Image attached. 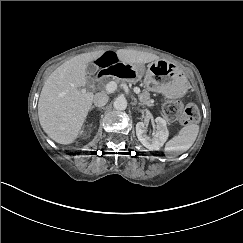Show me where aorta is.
I'll list each match as a JSON object with an SVG mask.
<instances>
[{
	"mask_svg": "<svg viewBox=\"0 0 243 243\" xmlns=\"http://www.w3.org/2000/svg\"><path fill=\"white\" fill-rule=\"evenodd\" d=\"M114 109L118 111H124L127 108V100L123 96H119L113 103Z\"/></svg>",
	"mask_w": 243,
	"mask_h": 243,
	"instance_id": "aorta-1",
	"label": "aorta"
}]
</instances>
